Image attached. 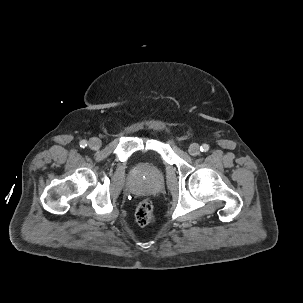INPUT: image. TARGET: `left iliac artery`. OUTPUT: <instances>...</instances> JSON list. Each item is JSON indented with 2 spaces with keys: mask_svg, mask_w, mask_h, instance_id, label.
<instances>
[{
  "mask_svg": "<svg viewBox=\"0 0 303 303\" xmlns=\"http://www.w3.org/2000/svg\"><path fill=\"white\" fill-rule=\"evenodd\" d=\"M200 150L202 152H207L209 150V145L208 144H203L201 147H200Z\"/></svg>",
  "mask_w": 303,
  "mask_h": 303,
  "instance_id": "44dca946",
  "label": "left iliac artery"
}]
</instances>
